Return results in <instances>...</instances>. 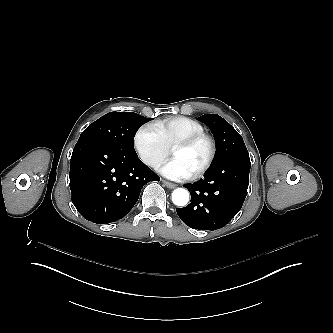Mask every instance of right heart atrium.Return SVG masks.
Wrapping results in <instances>:
<instances>
[{
	"mask_svg": "<svg viewBox=\"0 0 333 333\" xmlns=\"http://www.w3.org/2000/svg\"><path fill=\"white\" fill-rule=\"evenodd\" d=\"M134 148L144 164L152 170L158 169L170 150L154 124H146L139 129L134 138Z\"/></svg>",
	"mask_w": 333,
	"mask_h": 333,
	"instance_id": "obj_1",
	"label": "right heart atrium"
}]
</instances>
